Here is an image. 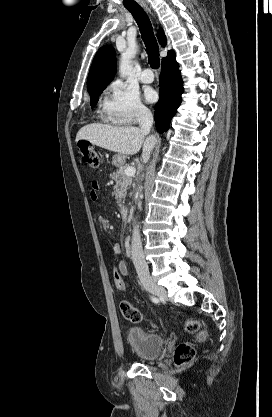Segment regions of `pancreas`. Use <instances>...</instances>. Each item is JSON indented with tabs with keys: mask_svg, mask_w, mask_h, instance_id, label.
<instances>
[{
	"mask_svg": "<svg viewBox=\"0 0 272 417\" xmlns=\"http://www.w3.org/2000/svg\"><path fill=\"white\" fill-rule=\"evenodd\" d=\"M125 169L126 166H121L111 175V178L116 182L113 194L120 205L124 202L127 189L132 184V178L125 174Z\"/></svg>",
	"mask_w": 272,
	"mask_h": 417,
	"instance_id": "obj_1",
	"label": "pancreas"
}]
</instances>
